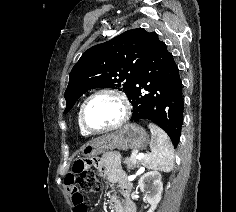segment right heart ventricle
<instances>
[{
    "label": "right heart ventricle",
    "mask_w": 236,
    "mask_h": 212,
    "mask_svg": "<svg viewBox=\"0 0 236 212\" xmlns=\"http://www.w3.org/2000/svg\"><path fill=\"white\" fill-rule=\"evenodd\" d=\"M78 125H79V130H80V133L82 135H87V133L85 132V130L81 127L80 123H79V117H78Z\"/></svg>",
    "instance_id": "1"
}]
</instances>
